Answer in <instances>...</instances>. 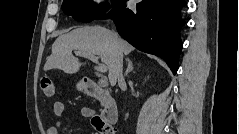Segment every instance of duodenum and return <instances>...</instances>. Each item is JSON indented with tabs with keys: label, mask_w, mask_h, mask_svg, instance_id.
Returning <instances> with one entry per match:
<instances>
[{
	"label": "duodenum",
	"mask_w": 239,
	"mask_h": 134,
	"mask_svg": "<svg viewBox=\"0 0 239 134\" xmlns=\"http://www.w3.org/2000/svg\"><path fill=\"white\" fill-rule=\"evenodd\" d=\"M85 86L87 94L100 101L103 108L101 114L103 120L106 123L115 124L118 121V109L110 94L102 89L97 82L90 77L85 78Z\"/></svg>",
	"instance_id": "duodenum-1"
}]
</instances>
